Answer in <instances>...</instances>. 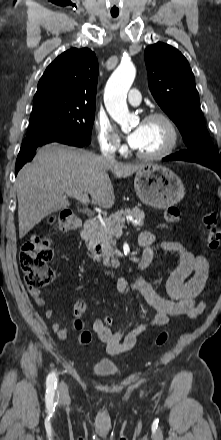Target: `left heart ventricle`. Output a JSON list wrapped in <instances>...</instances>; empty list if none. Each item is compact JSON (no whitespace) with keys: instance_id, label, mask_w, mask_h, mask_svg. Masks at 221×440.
I'll return each mask as SVG.
<instances>
[{"instance_id":"left-heart-ventricle-1","label":"left heart ventricle","mask_w":221,"mask_h":440,"mask_svg":"<svg viewBox=\"0 0 221 440\" xmlns=\"http://www.w3.org/2000/svg\"><path fill=\"white\" fill-rule=\"evenodd\" d=\"M144 125V135L137 150L143 153H155L163 149L169 138L166 125L160 120L145 121Z\"/></svg>"}]
</instances>
